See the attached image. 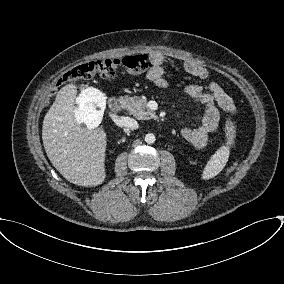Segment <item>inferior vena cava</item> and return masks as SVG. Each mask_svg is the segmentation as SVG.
Listing matches in <instances>:
<instances>
[{"label":"inferior vena cava","mask_w":284,"mask_h":284,"mask_svg":"<svg viewBox=\"0 0 284 284\" xmlns=\"http://www.w3.org/2000/svg\"><path fill=\"white\" fill-rule=\"evenodd\" d=\"M119 125L121 127H125L131 130L137 129L139 126L138 122L135 119L131 117H124V116L120 118Z\"/></svg>","instance_id":"obj_1"}]
</instances>
